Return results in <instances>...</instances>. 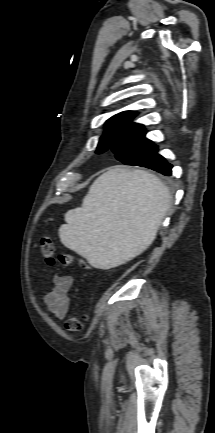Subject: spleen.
Segmentation results:
<instances>
[{
    "label": "spleen",
    "instance_id": "3e777b00",
    "mask_svg": "<svg viewBox=\"0 0 215 433\" xmlns=\"http://www.w3.org/2000/svg\"><path fill=\"white\" fill-rule=\"evenodd\" d=\"M170 201L155 175L113 167L93 183L80 208L65 214L60 240L95 268L121 265L153 242Z\"/></svg>",
    "mask_w": 215,
    "mask_h": 433
}]
</instances>
